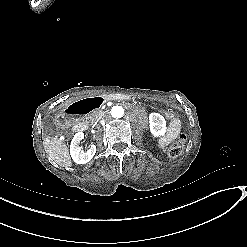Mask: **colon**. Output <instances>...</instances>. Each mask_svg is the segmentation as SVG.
Wrapping results in <instances>:
<instances>
[{"label": "colon", "instance_id": "obj_1", "mask_svg": "<svg viewBox=\"0 0 247 247\" xmlns=\"http://www.w3.org/2000/svg\"><path fill=\"white\" fill-rule=\"evenodd\" d=\"M162 115L170 122H175L179 119V114L177 112H172V110L169 108L164 109ZM186 141H187V136L185 134L180 135L179 138L168 149L167 151L168 156L171 159L177 158L182 153Z\"/></svg>", "mask_w": 247, "mask_h": 247}]
</instances>
